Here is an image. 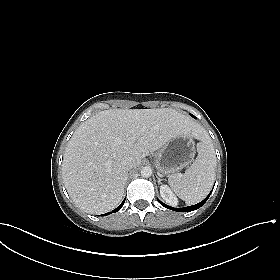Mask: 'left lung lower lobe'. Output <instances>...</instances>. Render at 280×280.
Instances as JSON below:
<instances>
[{
	"instance_id": "left-lung-lower-lobe-1",
	"label": "left lung lower lobe",
	"mask_w": 280,
	"mask_h": 280,
	"mask_svg": "<svg viewBox=\"0 0 280 280\" xmlns=\"http://www.w3.org/2000/svg\"><path fill=\"white\" fill-rule=\"evenodd\" d=\"M193 116V115H192ZM210 194L203 200L201 201L200 203L196 204V205H193V206H189V207H184V208H173V207H170L164 203H162L161 201L160 204L168 209H171V210H174V211H177V212H190V211H193V210H196L198 208H200L206 201L207 199L209 198Z\"/></svg>"
}]
</instances>
